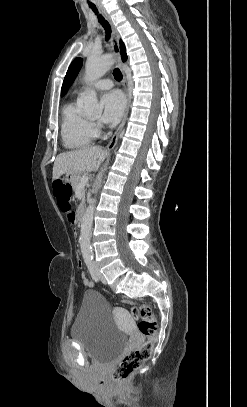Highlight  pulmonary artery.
Returning <instances> with one entry per match:
<instances>
[{"mask_svg":"<svg viewBox=\"0 0 247 407\" xmlns=\"http://www.w3.org/2000/svg\"><path fill=\"white\" fill-rule=\"evenodd\" d=\"M112 86H113V82L111 79H108V78L98 80L93 85V87L97 90H107V89H110ZM85 89H86V87H83L81 89V92H83Z\"/></svg>","mask_w":247,"mask_h":407,"instance_id":"1","label":"pulmonary artery"}]
</instances>
